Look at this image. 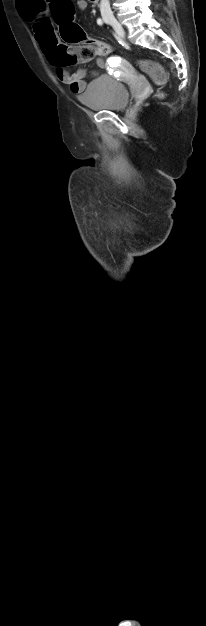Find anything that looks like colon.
Wrapping results in <instances>:
<instances>
[{"mask_svg":"<svg viewBox=\"0 0 206 626\" xmlns=\"http://www.w3.org/2000/svg\"><path fill=\"white\" fill-rule=\"evenodd\" d=\"M54 19L60 27V35L64 42L57 48L56 62L60 65H69L77 62H88L99 54H106L111 48L103 42L89 39L79 25L74 22V8L72 0H48ZM44 30L48 25L42 26ZM143 70L153 80L162 84L165 82V74L162 68L155 63H143Z\"/></svg>","mask_w":206,"mask_h":626,"instance_id":"5ec220e1","label":"colon"}]
</instances>
